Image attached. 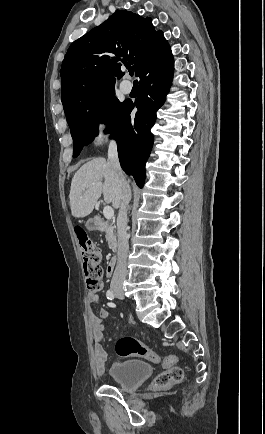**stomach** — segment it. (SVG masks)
<instances>
[{"mask_svg":"<svg viewBox=\"0 0 265 434\" xmlns=\"http://www.w3.org/2000/svg\"><path fill=\"white\" fill-rule=\"evenodd\" d=\"M97 225L96 224H94V223H91L90 224V222H88V230L89 231H91V232H94V231H96L97 230Z\"/></svg>","mask_w":265,"mask_h":434,"instance_id":"stomach-1","label":"stomach"}]
</instances>
